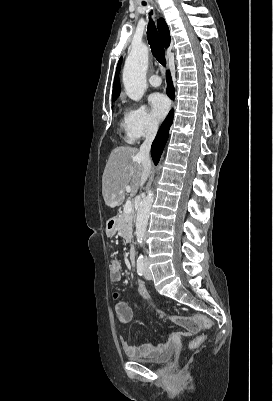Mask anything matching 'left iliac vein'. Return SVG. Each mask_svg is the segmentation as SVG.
Instances as JSON below:
<instances>
[{
	"mask_svg": "<svg viewBox=\"0 0 273 401\" xmlns=\"http://www.w3.org/2000/svg\"><path fill=\"white\" fill-rule=\"evenodd\" d=\"M144 276H145V278L147 280L152 279V274H151V272H150V270L148 268V263L147 262H145V264H144Z\"/></svg>",
	"mask_w": 273,
	"mask_h": 401,
	"instance_id": "left-iliac-vein-1",
	"label": "left iliac vein"
}]
</instances>
